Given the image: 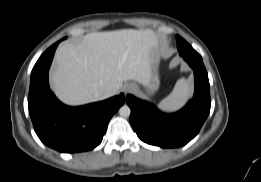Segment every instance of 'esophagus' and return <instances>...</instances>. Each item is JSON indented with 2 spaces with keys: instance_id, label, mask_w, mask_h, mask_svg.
<instances>
[{
  "instance_id": "34e87169",
  "label": "esophagus",
  "mask_w": 261,
  "mask_h": 182,
  "mask_svg": "<svg viewBox=\"0 0 261 182\" xmlns=\"http://www.w3.org/2000/svg\"><path fill=\"white\" fill-rule=\"evenodd\" d=\"M133 89H134V85H132V84H129L126 86V91H131Z\"/></svg>"
}]
</instances>
